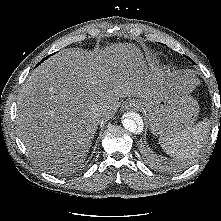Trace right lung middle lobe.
I'll use <instances>...</instances> for the list:
<instances>
[{"mask_svg":"<svg viewBox=\"0 0 221 221\" xmlns=\"http://www.w3.org/2000/svg\"><path fill=\"white\" fill-rule=\"evenodd\" d=\"M46 58H48V56H47ZM46 58H44L42 61H40V62L38 63V65H39L41 62H43Z\"/></svg>","mask_w":221,"mask_h":221,"instance_id":"dd1d6c3e","label":"right lung middle lobe"}]
</instances>
